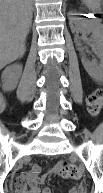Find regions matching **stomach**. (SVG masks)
<instances>
[{
  "mask_svg": "<svg viewBox=\"0 0 103 193\" xmlns=\"http://www.w3.org/2000/svg\"><path fill=\"white\" fill-rule=\"evenodd\" d=\"M89 8L98 9L101 0H82Z\"/></svg>",
  "mask_w": 103,
  "mask_h": 193,
  "instance_id": "1",
  "label": "stomach"
}]
</instances>
